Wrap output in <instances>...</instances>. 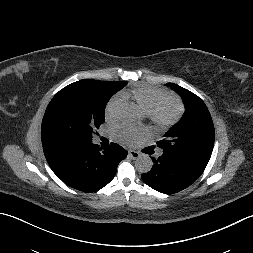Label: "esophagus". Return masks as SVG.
Returning <instances> with one entry per match:
<instances>
[{"instance_id":"34e87169","label":"esophagus","mask_w":253,"mask_h":253,"mask_svg":"<svg viewBox=\"0 0 253 253\" xmlns=\"http://www.w3.org/2000/svg\"><path fill=\"white\" fill-rule=\"evenodd\" d=\"M128 155H129L132 159H137V158L140 156V154H139L137 151H135V150H129V151H128Z\"/></svg>"}]
</instances>
